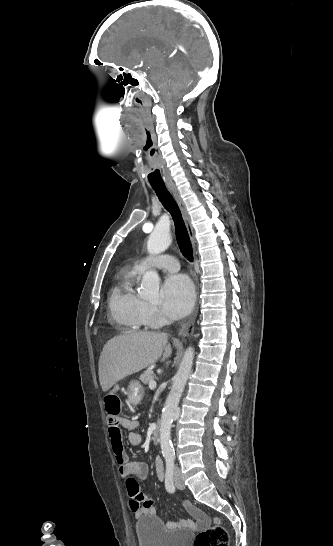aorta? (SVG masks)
I'll use <instances>...</instances> for the list:
<instances>
[{"mask_svg":"<svg viewBox=\"0 0 333 546\" xmlns=\"http://www.w3.org/2000/svg\"><path fill=\"white\" fill-rule=\"evenodd\" d=\"M170 244L171 236L169 231L167 229L156 227L149 236L147 250L149 254L157 255L164 252ZM159 280V275L154 270L144 273L141 281V292L143 296L150 300H156L158 298ZM193 359L194 349L189 347L185 351L179 369L173 378L172 387L162 411L160 424V447L163 455H171L174 451L171 441L172 422L180 401V397L190 375Z\"/></svg>","mask_w":333,"mask_h":546,"instance_id":"obj_1","label":"aorta"}]
</instances>
